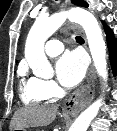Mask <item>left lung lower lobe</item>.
Returning a JSON list of instances; mask_svg holds the SVG:
<instances>
[{"label":"left lung lower lobe","mask_w":117,"mask_h":131,"mask_svg":"<svg viewBox=\"0 0 117 131\" xmlns=\"http://www.w3.org/2000/svg\"><path fill=\"white\" fill-rule=\"evenodd\" d=\"M107 35V44L109 49L110 61L114 74L117 73V40L114 38L113 32L109 29H105Z\"/></svg>","instance_id":"obj_1"}]
</instances>
